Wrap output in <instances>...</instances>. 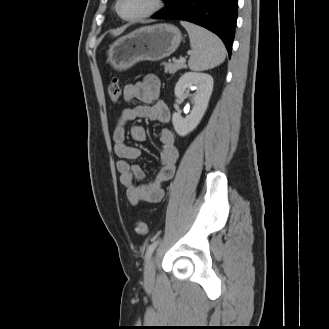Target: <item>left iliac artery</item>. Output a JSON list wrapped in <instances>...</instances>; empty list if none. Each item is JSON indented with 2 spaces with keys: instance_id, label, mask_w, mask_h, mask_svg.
I'll return each mask as SVG.
<instances>
[{
  "instance_id": "1",
  "label": "left iliac artery",
  "mask_w": 329,
  "mask_h": 329,
  "mask_svg": "<svg viewBox=\"0 0 329 329\" xmlns=\"http://www.w3.org/2000/svg\"><path fill=\"white\" fill-rule=\"evenodd\" d=\"M159 239L158 240H155L153 243H151L146 251V255H145V259H146V262L150 259L153 251L155 250V248L157 247V245L159 244Z\"/></svg>"
}]
</instances>
